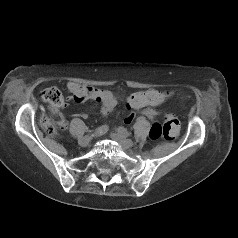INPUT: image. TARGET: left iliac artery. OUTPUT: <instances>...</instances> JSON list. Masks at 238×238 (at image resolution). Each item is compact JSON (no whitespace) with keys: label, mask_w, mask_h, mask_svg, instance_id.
Masks as SVG:
<instances>
[{"label":"left iliac artery","mask_w":238,"mask_h":238,"mask_svg":"<svg viewBox=\"0 0 238 238\" xmlns=\"http://www.w3.org/2000/svg\"><path fill=\"white\" fill-rule=\"evenodd\" d=\"M118 132H119L120 134H122L123 136H125V137H128V136L131 135V133H129V132L127 131V129H125L124 127H119V128H118Z\"/></svg>","instance_id":"44dca946"}]
</instances>
